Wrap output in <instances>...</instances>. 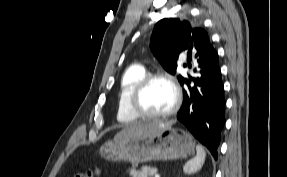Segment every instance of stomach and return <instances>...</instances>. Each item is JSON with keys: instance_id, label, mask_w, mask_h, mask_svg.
Listing matches in <instances>:
<instances>
[{"instance_id": "obj_1", "label": "stomach", "mask_w": 287, "mask_h": 177, "mask_svg": "<svg viewBox=\"0 0 287 177\" xmlns=\"http://www.w3.org/2000/svg\"><path fill=\"white\" fill-rule=\"evenodd\" d=\"M194 152L192 137L184 130L171 126L148 135L114 138L100 148L104 159L132 164L183 159Z\"/></svg>"}]
</instances>
